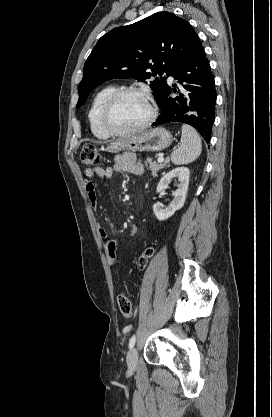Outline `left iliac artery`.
Returning <instances> with one entry per match:
<instances>
[{
  "instance_id": "1",
  "label": "left iliac artery",
  "mask_w": 272,
  "mask_h": 417,
  "mask_svg": "<svg viewBox=\"0 0 272 417\" xmlns=\"http://www.w3.org/2000/svg\"><path fill=\"white\" fill-rule=\"evenodd\" d=\"M135 341H136V336L133 335L129 341V349H132L135 345Z\"/></svg>"
}]
</instances>
